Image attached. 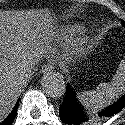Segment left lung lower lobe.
<instances>
[{
    "label": "left lung lower lobe",
    "instance_id": "obj_1",
    "mask_svg": "<svg viewBox=\"0 0 125 125\" xmlns=\"http://www.w3.org/2000/svg\"><path fill=\"white\" fill-rule=\"evenodd\" d=\"M66 95L62 105L59 108L60 119L63 123L69 125H90L92 121L81 105L77 102L74 91L67 86ZM125 107V95L115 104L99 112L97 119H104L117 114Z\"/></svg>",
    "mask_w": 125,
    "mask_h": 125
}]
</instances>
